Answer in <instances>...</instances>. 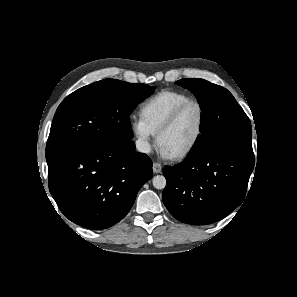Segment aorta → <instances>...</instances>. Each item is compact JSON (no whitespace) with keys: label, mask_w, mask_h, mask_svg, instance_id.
<instances>
[{"label":"aorta","mask_w":297,"mask_h":297,"mask_svg":"<svg viewBox=\"0 0 297 297\" xmlns=\"http://www.w3.org/2000/svg\"><path fill=\"white\" fill-rule=\"evenodd\" d=\"M152 183L156 189H164L166 186V179L163 175H157L153 177Z\"/></svg>","instance_id":"obj_1"}]
</instances>
